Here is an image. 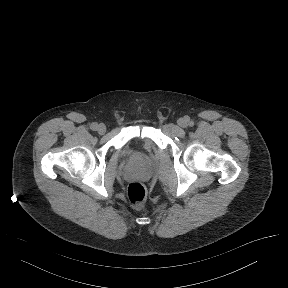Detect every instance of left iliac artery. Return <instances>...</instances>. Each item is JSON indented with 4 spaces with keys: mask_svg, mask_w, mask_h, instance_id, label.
<instances>
[{
    "mask_svg": "<svg viewBox=\"0 0 288 288\" xmlns=\"http://www.w3.org/2000/svg\"><path fill=\"white\" fill-rule=\"evenodd\" d=\"M189 125H190V126H193V125H194V122H193V121H190V122H189Z\"/></svg>",
    "mask_w": 288,
    "mask_h": 288,
    "instance_id": "1",
    "label": "left iliac artery"
}]
</instances>
